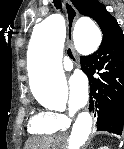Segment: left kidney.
I'll return each instance as SVG.
<instances>
[{"instance_id": "5707ae66", "label": "left kidney", "mask_w": 124, "mask_h": 149, "mask_svg": "<svg viewBox=\"0 0 124 149\" xmlns=\"http://www.w3.org/2000/svg\"><path fill=\"white\" fill-rule=\"evenodd\" d=\"M99 149H108L107 146L100 147Z\"/></svg>"}]
</instances>
